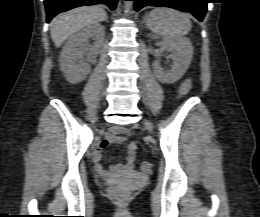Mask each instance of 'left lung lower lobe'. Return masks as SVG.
<instances>
[{"instance_id": "0a47b994", "label": "left lung lower lobe", "mask_w": 260, "mask_h": 217, "mask_svg": "<svg viewBox=\"0 0 260 217\" xmlns=\"http://www.w3.org/2000/svg\"><path fill=\"white\" fill-rule=\"evenodd\" d=\"M135 1V10L139 11L145 6L170 7L183 12L193 14L202 21L206 11L208 0H131Z\"/></svg>"}]
</instances>
